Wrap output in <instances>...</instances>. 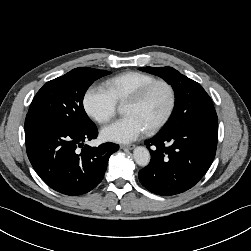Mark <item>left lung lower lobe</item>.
<instances>
[{
  "instance_id": "1",
  "label": "left lung lower lobe",
  "mask_w": 251,
  "mask_h": 251,
  "mask_svg": "<svg viewBox=\"0 0 251 251\" xmlns=\"http://www.w3.org/2000/svg\"><path fill=\"white\" fill-rule=\"evenodd\" d=\"M218 118L209 98H201L177 128L145 141L151 162L139 171L149 191L170 196L192 188L209 169L217 147ZM153 146L155 149L151 150Z\"/></svg>"
}]
</instances>
